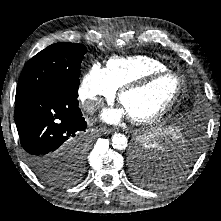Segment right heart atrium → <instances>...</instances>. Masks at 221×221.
Returning <instances> with one entry per match:
<instances>
[{
  "mask_svg": "<svg viewBox=\"0 0 221 221\" xmlns=\"http://www.w3.org/2000/svg\"><path fill=\"white\" fill-rule=\"evenodd\" d=\"M116 90L106 70L99 64H94L82 78L79 99L83 107L91 112L102 104L103 99H112Z\"/></svg>",
  "mask_w": 221,
  "mask_h": 221,
  "instance_id": "right-heart-atrium-1",
  "label": "right heart atrium"
}]
</instances>
